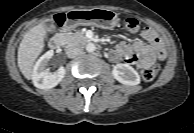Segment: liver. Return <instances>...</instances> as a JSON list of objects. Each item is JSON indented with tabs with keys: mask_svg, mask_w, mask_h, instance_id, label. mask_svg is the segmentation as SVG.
I'll return each instance as SVG.
<instances>
[{
	"mask_svg": "<svg viewBox=\"0 0 194 133\" xmlns=\"http://www.w3.org/2000/svg\"><path fill=\"white\" fill-rule=\"evenodd\" d=\"M47 36L45 24L30 29L23 37L18 48V67L26 79L32 78L33 65L44 49Z\"/></svg>",
	"mask_w": 194,
	"mask_h": 133,
	"instance_id": "obj_1",
	"label": "liver"
}]
</instances>
